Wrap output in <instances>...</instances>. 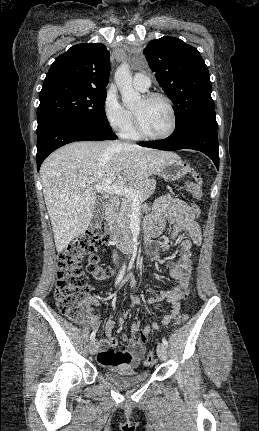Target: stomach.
Here are the masks:
<instances>
[{
    "instance_id": "0dacf381",
    "label": "stomach",
    "mask_w": 259,
    "mask_h": 431,
    "mask_svg": "<svg viewBox=\"0 0 259 431\" xmlns=\"http://www.w3.org/2000/svg\"><path fill=\"white\" fill-rule=\"evenodd\" d=\"M190 170L191 168L189 164L176 155L163 163L158 171V174L165 181H175L185 176Z\"/></svg>"
}]
</instances>
